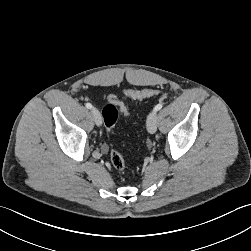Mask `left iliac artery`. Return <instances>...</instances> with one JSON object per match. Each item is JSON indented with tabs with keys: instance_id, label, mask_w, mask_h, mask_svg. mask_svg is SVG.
<instances>
[{
	"instance_id": "left-iliac-artery-1",
	"label": "left iliac artery",
	"mask_w": 251,
	"mask_h": 251,
	"mask_svg": "<svg viewBox=\"0 0 251 251\" xmlns=\"http://www.w3.org/2000/svg\"><path fill=\"white\" fill-rule=\"evenodd\" d=\"M163 107V104L162 103H159V104H157L155 107H154V109H153V111H159L161 108Z\"/></svg>"
}]
</instances>
